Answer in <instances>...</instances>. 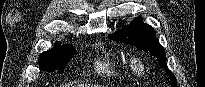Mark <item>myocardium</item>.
I'll return each mask as SVG.
<instances>
[{"mask_svg": "<svg viewBox=\"0 0 205 87\" xmlns=\"http://www.w3.org/2000/svg\"><path fill=\"white\" fill-rule=\"evenodd\" d=\"M130 65L134 73L141 75L145 71V63L142 59L134 57L130 60Z\"/></svg>", "mask_w": 205, "mask_h": 87, "instance_id": "1", "label": "myocardium"}]
</instances>
